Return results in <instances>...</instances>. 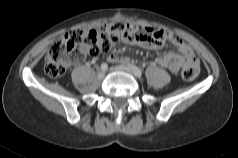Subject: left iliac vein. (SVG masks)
Returning a JSON list of instances; mask_svg holds the SVG:
<instances>
[{"mask_svg": "<svg viewBox=\"0 0 238 158\" xmlns=\"http://www.w3.org/2000/svg\"><path fill=\"white\" fill-rule=\"evenodd\" d=\"M112 70H114V71H124V72H130L131 71L128 67L123 66V65L116 66V67L112 68Z\"/></svg>", "mask_w": 238, "mask_h": 158, "instance_id": "obj_1", "label": "left iliac vein"}]
</instances>
